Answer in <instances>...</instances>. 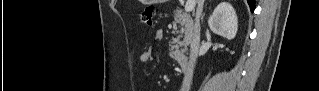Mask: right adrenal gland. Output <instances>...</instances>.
Segmentation results:
<instances>
[{"mask_svg":"<svg viewBox=\"0 0 319 91\" xmlns=\"http://www.w3.org/2000/svg\"><path fill=\"white\" fill-rule=\"evenodd\" d=\"M204 16H205V12H204L203 15H202V18H201L202 20H203V17H204Z\"/></svg>","mask_w":319,"mask_h":91,"instance_id":"obj_1","label":"right adrenal gland"}]
</instances>
